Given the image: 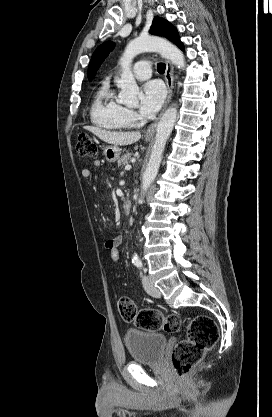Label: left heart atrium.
Listing matches in <instances>:
<instances>
[{
	"mask_svg": "<svg viewBox=\"0 0 272 417\" xmlns=\"http://www.w3.org/2000/svg\"><path fill=\"white\" fill-rule=\"evenodd\" d=\"M165 88L157 80L146 82L141 91L140 111L143 115H152L157 112L165 99Z\"/></svg>",
	"mask_w": 272,
	"mask_h": 417,
	"instance_id": "1",
	"label": "left heart atrium"
}]
</instances>
